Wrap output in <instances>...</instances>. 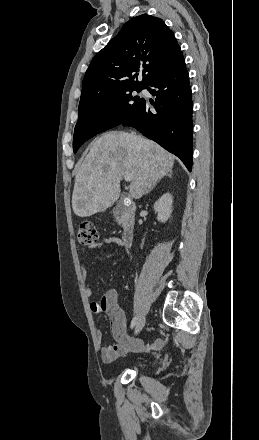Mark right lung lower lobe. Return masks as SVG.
Here are the masks:
<instances>
[{"label":"right lung lower lobe","mask_w":259,"mask_h":440,"mask_svg":"<svg viewBox=\"0 0 259 440\" xmlns=\"http://www.w3.org/2000/svg\"><path fill=\"white\" fill-rule=\"evenodd\" d=\"M147 87L152 95L157 96L152 103L157 113L150 111L151 107L144 99L135 114L121 125L136 128L179 157L191 171L192 99L183 54L160 70Z\"/></svg>","instance_id":"obj_1"}]
</instances>
